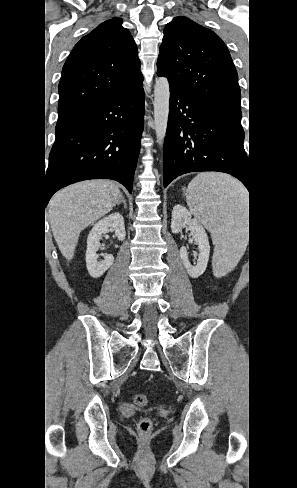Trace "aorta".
<instances>
[{"mask_svg": "<svg viewBox=\"0 0 297 488\" xmlns=\"http://www.w3.org/2000/svg\"><path fill=\"white\" fill-rule=\"evenodd\" d=\"M170 87L168 79L160 77L154 87V123L157 142L163 144L169 114Z\"/></svg>", "mask_w": 297, "mask_h": 488, "instance_id": "obj_1", "label": "aorta"}]
</instances>
